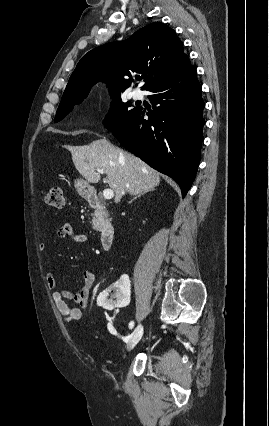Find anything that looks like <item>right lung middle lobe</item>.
Wrapping results in <instances>:
<instances>
[{"label": "right lung middle lobe", "mask_w": 269, "mask_h": 426, "mask_svg": "<svg viewBox=\"0 0 269 426\" xmlns=\"http://www.w3.org/2000/svg\"><path fill=\"white\" fill-rule=\"evenodd\" d=\"M120 95L121 93L111 94L114 101L112 102L110 111L103 122L106 128L110 131L118 128L127 116L135 110L128 109V107L131 106L129 102H120ZM85 97L86 96L63 98L58 107L55 122L62 120L70 111H72L74 105L81 103Z\"/></svg>", "instance_id": "1"}]
</instances>
